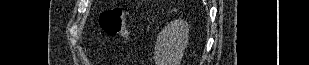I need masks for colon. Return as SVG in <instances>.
Returning <instances> with one entry per match:
<instances>
[{
    "mask_svg": "<svg viewBox=\"0 0 309 65\" xmlns=\"http://www.w3.org/2000/svg\"><path fill=\"white\" fill-rule=\"evenodd\" d=\"M127 13L119 8L108 9L99 17L101 28L112 37L126 35Z\"/></svg>",
    "mask_w": 309,
    "mask_h": 65,
    "instance_id": "colon-1",
    "label": "colon"
}]
</instances>
